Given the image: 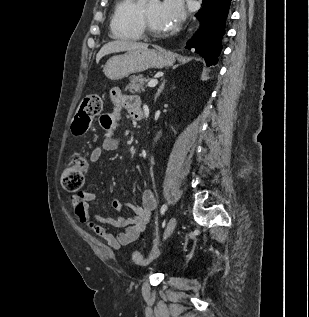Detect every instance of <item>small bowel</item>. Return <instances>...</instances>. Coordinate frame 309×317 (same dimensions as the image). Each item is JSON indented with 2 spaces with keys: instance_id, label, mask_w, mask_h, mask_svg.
Returning a JSON list of instances; mask_svg holds the SVG:
<instances>
[{
  "instance_id": "small-bowel-1",
  "label": "small bowel",
  "mask_w": 309,
  "mask_h": 317,
  "mask_svg": "<svg viewBox=\"0 0 309 317\" xmlns=\"http://www.w3.org/2000/svg\"><path fill=\"white\" fill-rule=\"evenodd\" d=\"M110 99L114 106L111 113L100 117V125L104 131L102 144L96 147L90 154V161L96 162L104 152H110L118 147L119 139L116 134V127L120 119L122 110H127L134 120H140L143 114L141 100L137 96L127 95L119 88L110 91ZM96 200V194L91 191H79L70 198L72 210L77 220L88 226L95 234L103 239L107 245L118 250L122 246L136 243L146 225L148 224L151 213L156 207V199L150 190H144L141 195V204H122L118 200L112 201V208L121 211L127 209L132 212L131 216L105 217L100 214L89 213V205ZM105 225L115 228H123L119 233H113Z\"/></svg>"
}]
</instances>
